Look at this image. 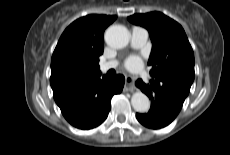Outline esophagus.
I'll list each match as a JSON object with an SVG mask.
<instances>
[{
    "label": "esophagus",
    "instance_id": "34e87169",
    "mask_svg": "<svg viewBox=\"0 0 230 155\" xmlns=\"http://www.w3.org/2000/svg\"><path fill=\"white\" fill-rule=\"evenodd\" d=\"M134 77L130 75L125 76V89L127 91H133L134 90Z\"/></svg>",
    "mask_w": 230,
    "mask_h": 155
}]
</instances>
